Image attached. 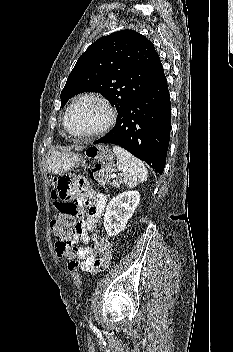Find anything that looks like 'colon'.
Instances as JSON below:
<instances>
[{"instance_id":"1","label":"colon","mask_w":233,"mask_h":352,"mask_svg":"<svg viewBox=\"0 0 233 352\" xmlns=\"http://www.w3.org/2000/svg\"><path fill=\"white\" fill-rule=\"evenodd\" d=\"M87 156L96 161L91 171L92 180L98 184H105L112 170V154L102 147L92 146L88 148ZM75 212L76 206L74 204H64L57 216L51 221L52 233L63 245L67 244L69 235L73 229ZM92 250L94 260L87 270L91 273H97L108 269L113 252L111 241L95 234L93 236Z\"/></svg>"}]
</instances>
